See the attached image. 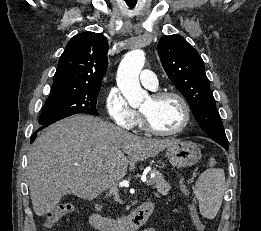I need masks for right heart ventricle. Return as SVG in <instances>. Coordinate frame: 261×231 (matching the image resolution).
Returning a JSON list of instances; mask_svg holds the SVG:
<instances>
[{
    "mask_svg": "<svg viewBox=\"0 0 261 231\" xmlns=\"http://www.w3.org/2000/svg\"><path fill=\"white\" fill-rule=\"evenodd\" d=\"M138 124H139V125H142L140 119H139V121H138Z\"/></svg>",
    "mask_w": 261,
    "mask_h": 231,
    "instance_id": "e07e8e85",
    "label": "right heart ventricle"
}]
</instances>
